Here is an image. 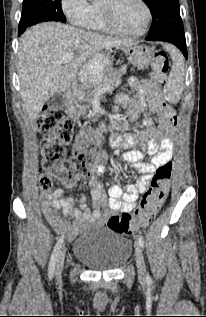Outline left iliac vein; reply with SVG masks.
<instances>
[{
  "label": "left iliac vein",
  "instance_id": "left-iliac-vein-1",
  "mask_svg": "<svg viewBox=\"0 0 206 317\" xmlns=\"http://www.w3.org/2000/svg\"><path fill=\"white\" fill-rule=\"evenodd\" d=\"M135 254H136V265L139 278L144 280L146 278V265L144 261L143 252L139 243L135 244Z\"/></svg>",
  "mask_w": 206,
  "mask_h": 317
}]
</instances>
